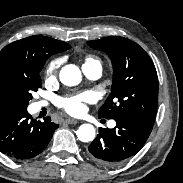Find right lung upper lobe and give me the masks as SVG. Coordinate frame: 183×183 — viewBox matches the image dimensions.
Listing matches in <instances>:
<instances>
[{
    "instance_id": "obj_1",
    "label": "right lung upper lobe",
    "mask_w": 183,
    "mask_h": 183,
    "mask_svg": "<svg viewBox=\"0 0 183 183\" xmlns=\"http://www.w3.org/2000/svg\"><path fill=\"white\" fill-rule=\"evenodd\" d=\"M71 46L49 37L34 35L15 41L0 51V119L18 110L6 94L7 85L29 75L38 61L66 51Z\"/></svg>"
}]
</instances>
